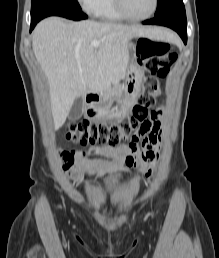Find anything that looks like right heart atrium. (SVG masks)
I'll use <instances>...</instances> for the list:
<instances>
[{
	"instance_id": "obj_1",
	"label": "right heart atrium",
	"mask_w": 219,
	"mask_h": 258,
	"mask_svg": "<svg viewBox=\"0 0 219 258\" xmlns=\"http://www.w3.org/2000/svg\"><path fill=\"white\" fill-rule=\"evenodd\" d=\"M84 11L94 13L100 4L101 0H78Z\"/></svg>"
}]
</instances>
